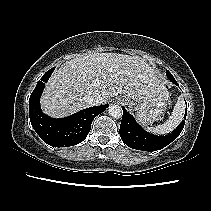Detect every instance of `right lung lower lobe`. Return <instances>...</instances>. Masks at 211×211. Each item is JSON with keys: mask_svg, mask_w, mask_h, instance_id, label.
<instances>
[{"mask_svg": "<svg viewBox=\"0 0 211 211\" xmlns=\"http://www.w3.org/2000/svg\"><path fill=\"white\" fill-rule=\"evenodd\" d=\"M55 68L48 70L38 81L29 99L31 125L40 138L53 147H68L79 144L88 135L93 119L109 105L94 106L62 119L51 118L42 113L40 96L45 83Z\"/></svg>", "mask_w": 211, "mask_h": 211, "instance_id": "98d812e1", "label": "right lung lower lobe"}]
</instances>
